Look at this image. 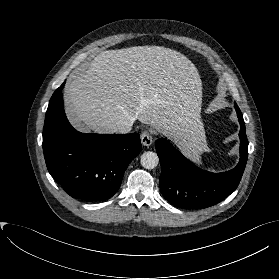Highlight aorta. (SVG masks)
I'll return each instance as SVG.
<instances>
[{"label": "aorta", "instance_id": "aorta-1", "mask_svg": "<svg viewBox=\"0 0 279 279\" xmlns=\"http://www.w3.org/2000/svg\"><path fill=\"white\" fill-rule=\"evenodd\" d=\"M140 163L145 169H154L159 164L158 155L152 151L144 152L141 155Z\"/></svg>", "mask_w": 279, "mask_h": 279}]
</instances>
